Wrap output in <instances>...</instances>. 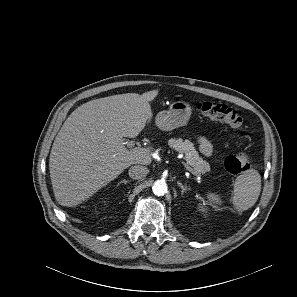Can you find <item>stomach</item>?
I'll return each instance as SVG.
<instances>
[{"label": "stomach", "mask_w": 297, "mask_h": 297, "mask_svg": "<svg viewBox=\"0 0 297 297\" xmlns=\"http://www.w3.org/2000/svg\"><path fill=\"white\" fill-rule=\"evenodd\" d=\"M192 107L188 102H173L169 110L161 111L155 118V123L163 131H171L175 128L185 126L190 119Z\"/></svg>", "instance_id": "obj_1"}]
</instances>
